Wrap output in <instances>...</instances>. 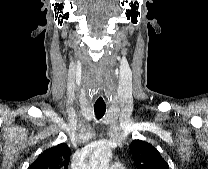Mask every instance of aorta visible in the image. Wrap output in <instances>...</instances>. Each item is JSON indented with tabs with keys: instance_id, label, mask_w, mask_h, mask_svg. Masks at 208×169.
Wrapping results in <instances>:
<instances>
[{
	"instance_id": "obj_1",
	"label": "aorta",
	"mask_w": 208,
	"mask_h": 169,
	"mask_svg": "<svg viewBox=\"0 0 208 169\" xmlns=\"http://www.w3.org/2000/svg\"><path fill=\"white\" fill-rule=\"evenodd\" d=\"M111 156L112 151L108 146H99L89 158L88 169H108Z\"/></svg>"
}]
</instances>
